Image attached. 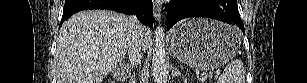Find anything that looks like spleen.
I'll return each mask as SVG.
<instances>
[{
  "instance_id": "spleen-1",
  "label": "spleen",
  "mask_w": 307,
  "mask_h": 83,
  "mask_svg": "<svg viewBox=\"0 0 307 83\" xmlns=\"http://www.w3.org/2000/svg\"><path fill=\"white\" fill-rule=\"evenodd\" d=\"M218 83H245V70L241 60L230 62L218 78Z\"/></svg>"
}]
</instances>
